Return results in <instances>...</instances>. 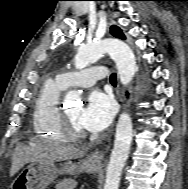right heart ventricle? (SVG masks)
<instances>
[{"mask_svg": "<svg viewBox=\"0 0 188 189\" xmlns=\"http://www.w3.org/2000/svg\"><path fill=\"white\" fill-rule=\"evenodd\" d=\"M55 80H46L35 99L32 115L34 133L53 142L66 140L60 121V95L64 90Z\"/></svg>", "mask_w": 188, "mask_h": 189, "instance_id": "right-heart-ventricle-1", "label": "right heart ventricle"}]
</instances>
